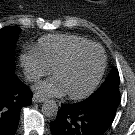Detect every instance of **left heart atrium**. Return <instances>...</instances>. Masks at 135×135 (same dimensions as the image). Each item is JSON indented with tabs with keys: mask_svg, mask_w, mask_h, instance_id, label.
Returning <instances> with one entry per match:
<instances>
[{
	"mask_svg": "<svg viewBox=\"0 0 135 135\" xmlns=\"http://www.w3.org/2000/svg\"><path fill=\"white\" fill-rule=\"evenodd\" d=\"M34 90L37 95L42 97H59L67 93L64 85L57 76H53L46 81L38 83Z\"/></svg>",
	"mask_w": 135,
	"mask_h": 135,
	"instance_id": "1",
	"label": "left heart atrium"
}]
</instances>
